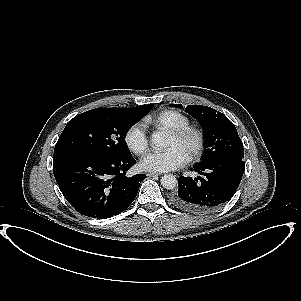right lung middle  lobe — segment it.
<instances>
[{"label": "right lung middle lobe", "instance_id": "obj_1", "mask_svg": "<svg viewBox=\"0 0 301 301\" xmlns=\"http://www.w3.org/2000/svg\"><path fill=\"white\" fill-rule=\"evenodd\" d=\"M150 110L96 108L71 119L54 149V159L74 153L101 156L131 155L125 137L131 126Z\"/></svg>", "mask_w": 301, "mask_h": 301}]
</instances>
